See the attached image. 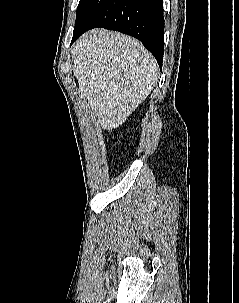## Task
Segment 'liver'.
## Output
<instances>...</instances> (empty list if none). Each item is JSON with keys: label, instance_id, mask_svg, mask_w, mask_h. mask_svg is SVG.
Listing matches in <instances>:
<instances>
[{"label": "liver", "instance_id": "1", "mask_svg": "<svg viewBox=\"0 0 239 303\" xmlns=\"http://www.w3.org/2000/svg\"><path fill=\"white\" fill-rule=\"evenodd\" d=\"M79 90L108 131L122 125L148 97L158 79L155 58L136 39L92 29L72 50Z\"/></svg>", "mask_w": 239, "mask_h": 303}]
</instances>
